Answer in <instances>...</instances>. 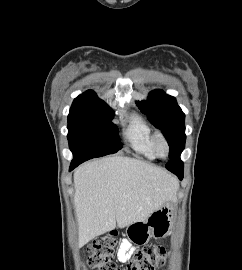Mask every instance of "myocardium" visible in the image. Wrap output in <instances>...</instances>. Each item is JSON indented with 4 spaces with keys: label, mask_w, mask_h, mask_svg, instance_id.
Masks as SVG:
<instances>
[{
    "label": "myocardium",
    "mask_w": 242,
    "mask_h": 270,
    "mask_svg": "<svg viewBox=\"0 0 242 270\" xmlns=\"http://www.w3.org/2000/svg\"><path fill=\"white\" fill-rule=\"evenodd\" d=\"M163 145L165 148V154H162L160 152V145ZM152 148L154 151V154L159 158H166L169 156L170 153V144L168 142V139L163 133H156L152 140Z\"/></svg>",
    "instance_id": "f54148a6"
}]
</instances>
